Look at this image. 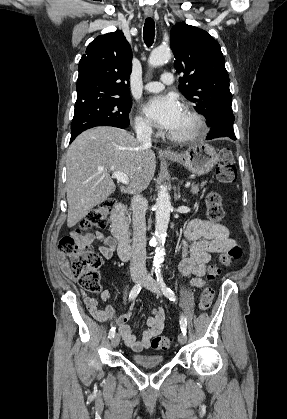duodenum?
Returning <instances> with one entry per match:
<instances>
[{"mask_svg": "<svg viewBox=\"0 0 287 419\" xmlns=\"http://www.w3.org/2000/svg\"><path fill=\"white\" fill-rule=\"evenodd\" d=\"M126 206L122 202L114 205L111 214V232L118 242V255L122 260L130 257V238L125 221Z\"/></svg>", "mask_w": 287, "mask_h": 419, "instance_id": "1", "label": "duodenum"}]
</instances>
